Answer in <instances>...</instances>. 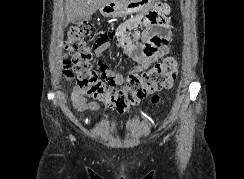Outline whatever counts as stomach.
Instances as JSON below:
<instances>
[{
  "mask_svg": "<svg viewBox=\"0 0 244 179\" xmlns=\"http://www.w3.org/2000/svg\"><path fill=\"white\" fill-rule=\"evenodd\" d=\"M150 1L151 0H107L106 4H102L99 10L102 16H109V18H124V16L139 12L143 4H147V2Z\"/></svg>",
  "mask_w": 244,
  "mask_h": 179,
  "instance_id": "obj_1",
  "label": "stomach"
}]
</instances>
